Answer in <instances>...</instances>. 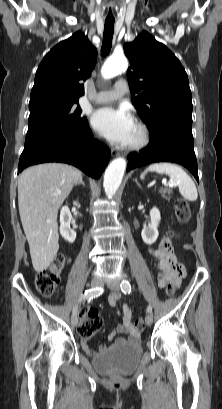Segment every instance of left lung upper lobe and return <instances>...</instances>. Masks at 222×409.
<instances>
[{
	"label": "left lung upper lobe",
	"instance_id": "obj_1",
	"mask_svg": "<svg viewBox=\"0 0 222 409\" xmlns=\"http://www.w3.org/2000/svg\"><path fill=\"white\" fill-rule=\"evenodd\" d=\"M124 51L131 64V100L150 132L166 125L192 128L188 76L176 56L147 32L126 43Z\"/></svg>",
	"mask_w": 222,
	"mask_h": 409
}]
</instances>
